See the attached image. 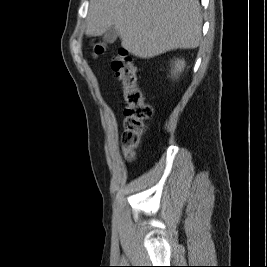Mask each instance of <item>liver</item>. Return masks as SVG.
I'll return each mask as SVG.
<instances>
[{
  "label": "liver",
  "instance_id": "obj_1",
  "mask_svg": "<svg viewBox=\"0 0 267 267\" xmlns=\"http://www.w3.org/2000/svg\"><path fill=\"white\" fill-rule=\"evenodd\" d=\"M86 22L88 36L114 26L122 47L142 59L194 49L202 40L197 0H90Z\"/></svg>",
  "mask_w": 267,
  "mask_h": 267
}]
</instances>
